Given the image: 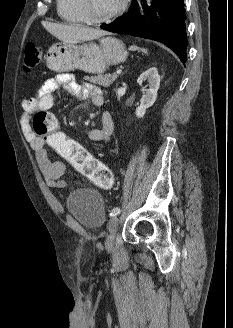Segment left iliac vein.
I'll list each match as a JSON object with an SVG mask.
<instances>
[{
	"mask_svg": "<svg viewBox=\"0 0 233 328\" xmlns=\"http://www.w3.org/2000/svg\"><path fill=\"white\" fill-rule=\"evenodd\" d=\"M118 224H119V218L116 216L113 217L108 223L109 234L105 241V246L108 251L112 250V248H113Z\"/></svg>",
	"mask_w": 233,
	"mask_h": 328,
	"instance_id": "left-iliac-vein-1",
	"label": "left iliac vein"
}]
</instances>
